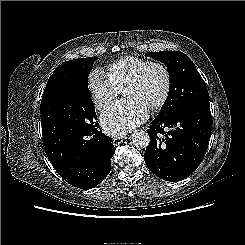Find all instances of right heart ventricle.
I'll list each match as a JSON object with an SVG mask.
<instances>
[{"mask_svg":"<svg viewBox=\"0 0 245 245\" xmlns=\"http://www.w3.org/2000/svg\"><path fill=\"white\" fill-rule=\"evenodd\" d=\"M149 60L136 56H126L118 59L106 68V75L119 90L123 89L130 78Z\"/></svg>","mask_w":245,"mask_h":245,"instance_id":"right-heart-ventricle-1","label":"right heart ventricle"}]
</instances>
